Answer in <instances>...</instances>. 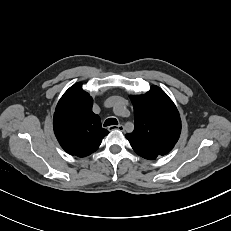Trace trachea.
<instances>
[{
    "instance_id": "3493384b",
    "label": "trachea",
    "mask_w": 231,
    "mask_h": 231,
    "mask_svg": "<svg viewBox=\"0 0 231 231\" xmlns=\"http://www.w3.org/2000/svg\"><path fill=\"white\" fill-rule=\"evenodd\" d=\"M111 125H118V121L115 118H109L104 122V127Z\"/></svg>"
}]
</instances>
